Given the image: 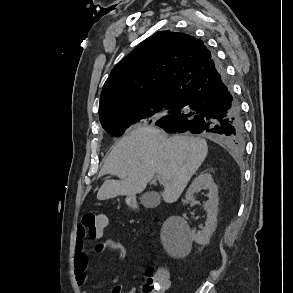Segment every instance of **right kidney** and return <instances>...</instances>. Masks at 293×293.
<instances>
[{
    "label": "right kidney",
    "instance_id": "ca27d5eb",
    "mask_svg": "<svg viewBox=\"0 0 293 293\" xmlns=\"http://www.w3.org/2000/svg\"><path fill=\"white\" fill-rule=\"evenodd\" d=\"M206 187L209 190V200L204 203V209L207 213V220L205 227L197 233L190 230L187 222L180 218L178 219L177 230L179 237L177 241L166 240L162 236V241L167 251H172L180 246L190 247V243L195 241L198 244L205 245L209 242L211 235L217 226V213H218V189L210 174H200L194 179L186 192L185 203L193 200V196L197 190Z\"/></svg>",
    "mask_w": 293,
    "mask_h": 293
}]
</instances>
